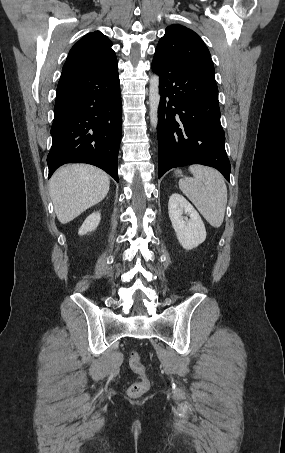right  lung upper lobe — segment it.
<instances>
[{
	"label": "right lung upper lobe",
	"mask_w": 285,
	"mask_h": 453,
	"mask_svg": "<svg viewBox=\"0 0 285 453\" xmlns=\"http://www.w3.org/2000/svg\"><path fill=\"white\" fill-rule=\"evenodd\" d=\"M111 46L112 42L100 31L88 33L70 50L63 71L100 72L117 68L116 55Z\"/></svg>",
	"instance_id": "cb5924a9"
}]
</instances>
